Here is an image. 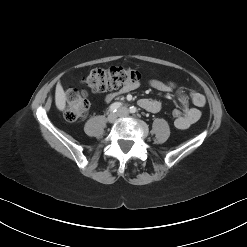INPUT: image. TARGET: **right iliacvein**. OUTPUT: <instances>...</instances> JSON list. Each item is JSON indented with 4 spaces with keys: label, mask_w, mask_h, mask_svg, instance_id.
<instances>
[{
    "label": "right iliac vein",
    "mask_w": 247,
    "mask_h": 247,
    "mask_svg": "<svg viewBox=\"0 0 247 247\" xmlns=\"http://www.w3.org/2000/svg\"><path fill=\"white\" fill-rule=\"evenodd\" d=\"M118 116H119V113L118 112L117 113H110L108 115V118L107 119H108V121L110 123H114L117 120Z\"/></svg>",
    "instance_id": "63e3f726"
}]
</instances>
